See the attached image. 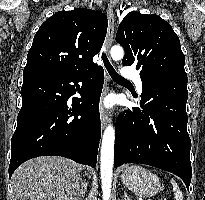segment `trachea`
Here are the masks:
<instances>
[{
	"instance_id": "trachea-1",
	"label": "trachea",
	"mask_w": 205,
	"mask_h": 200,
	"mask_svg": "<svg viewBox=\"0 0 205 200\" xmlns=\"http://www.w3.org/2000/svg\"><path fill=\"white\" fill-rule=\"evenodd\" d=\"M102 60L104 63V66L106 67L108 73L110 74V76L112 77L113 80L120 82V83H130L128 80L124 79L123 77H121L116 70L113 68V66L110 64L107 56L102 53Z\"/></svg>"
}]
</instances>
